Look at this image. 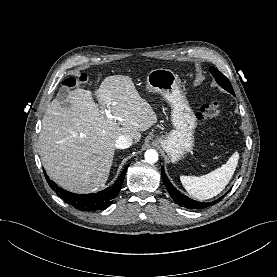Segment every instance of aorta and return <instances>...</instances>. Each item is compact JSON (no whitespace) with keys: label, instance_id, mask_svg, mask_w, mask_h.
Here are the masks:
<instances>
[{"label":"aorta","instance_id":"1","mask_svg":"<svg viewBox=\"0 0 277 277\" xmlns=\"http://www.w3.org/2000/svg\"><path fill=\"white\" fill-rule=\"evenodd\" d=\"M145 160L148 163H155L158 161V153L154 149H149L145 152Z\"/></svg>","mask_w":277,"mask_h":277}]
</instances>
